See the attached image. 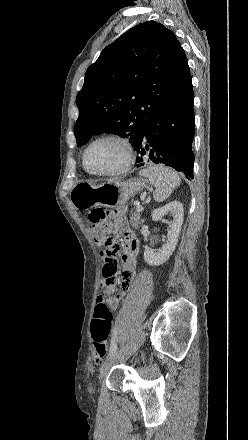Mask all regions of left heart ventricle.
Returning <instances> with one entry per match:
<instances>
[{"mask_svg":"<svg viewBox=\"0 0 248 440\" xmlns=\"http://www.w3.org/2000/svg\"><path fill=\"white\" fill-rule=\"evenodd\" d=\"M125 158L123 146L112 140L96 143L87 154V165L95 172L110 171L120 167Z\"/></svg>","mask_w":248,"mask_h":440,"instance_id":"obj_1","label":"left heart ventricle"}]
</instances>
